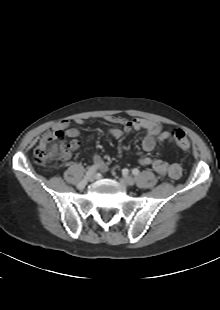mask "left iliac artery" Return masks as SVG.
<instances>
[{"instance_id":"obj_1","label":"left iliac artery","mask_w":220,"mask_h":310,"mask_svg":"<svg viewBox=\"0 0 220 310\" xmlns=\"http://www.w3.org/2000/svg\"><path fill=\"white\" fill-rule=\"evenodd\" d=\"M132 173H133L134 175H138V174H139V170H138L137 168H134V169L132 170Z\"/></svg>"}]
</instances>
